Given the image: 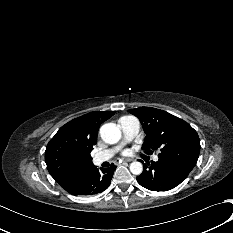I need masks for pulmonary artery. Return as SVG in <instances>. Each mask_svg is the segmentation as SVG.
Returning <instances> with one entry per match:
<instances>
[{"mask_svg":"<svg viewBox=\"0 0 233 233\" xmlns=\"http://www.w3.org/2000/svg\"><path fill=\"white\" fill-rule=\"evenodd\" d=\"M119 126L123 134L122 142L114 148L107 149L95 154L93 157V162L95 164H100L111 159L114 156V154L121 148V146L124 145L126 142L131 141L140 130V123L138 119L131 116H124L120 118ZM153 160L158 161V157L154 156Z\"/></svg>","mask_w":233,"mask_h":233,"instance_id":"obj_1","label":"pulmonary artery"}]
</instances>
